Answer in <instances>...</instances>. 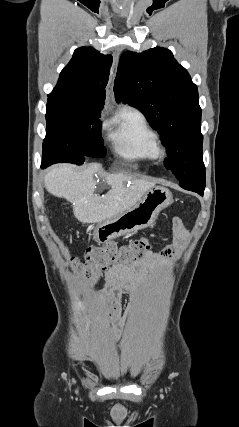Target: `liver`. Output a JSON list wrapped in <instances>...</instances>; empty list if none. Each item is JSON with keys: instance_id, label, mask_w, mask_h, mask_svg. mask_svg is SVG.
Segmentation results:
<instances>
[{"instance_id": "1", "label": "liver", "mask_w": 239, "mask_h": 427, "mask_svg": "<svg viewBox=\"0 0 239 427\" xmlns=\"http://www.w3.org/2000/svg\"><path fill=\"white\" fill-rule=\"evenodd\" d=\"M102 173L99 163H90L81 168L60 164L48 170L44 185L50 194L73 203L74 216L82 223H101L123 213L155 186L154 182L124 173L106 174L103 177L110 190L99 196L95 194L94 176Z\"/></svg>"}]
</instances>
